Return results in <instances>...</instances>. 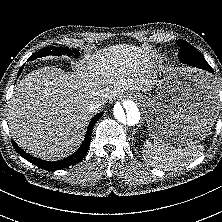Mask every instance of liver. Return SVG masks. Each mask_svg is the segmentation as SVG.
I'll return each mask as SVG.
<instances>
[{
    "label": "liver",
    "instance_id": "obj_1",
    "mask_svg": "<svg viewBox=\"0 0 222 222\" xmlns=\"http://www.w3.org/2000/svg\"><path fill=\"white\" fill-rule=\"evenodd\" d=\"M155 84L154 61L132 45L99 50L71 74L55 67L34 70L11 96V135L29 154L63 159L82 141L91 101L106 103L125 92H148Z\"/></svg>",
    "mask_w": 222,
    "mask_h": 222
}]
</instances>
